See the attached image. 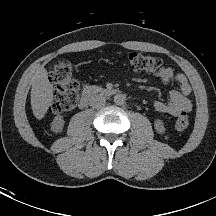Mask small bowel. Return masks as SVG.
<instances>
[{"label":"small bowel","instance_id":"c3829d8e","mask_svg":"<svg viewBox=\"0 0 216 216\" xmlns=\"http://www.w3.org/2000/svg\"><path fill=\"white\" fill-rule=\"evenodd\" d=\"M160 81L169 85L176 83L178 89H172L169 93V100L155 101L154 109L160 113L178 116L181 113H188L192 110V102L189 99L192 88L187 77L182 73H176L172 67L166 66L156 73Z\"/></svg>","mask_w":216,"mask_h":216}]
</instances>
